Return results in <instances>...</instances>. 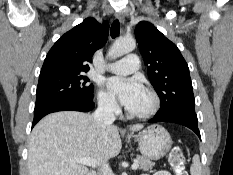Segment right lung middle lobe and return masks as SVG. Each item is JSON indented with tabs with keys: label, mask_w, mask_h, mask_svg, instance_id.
<instances>
[{
	"label": "right lung middle lobe",
	"mask_w": 233,
	"mask_h": 175,
	"mask_svg": "<svg viewBox=\"0 0 233 175\" xmlns=\"http://www.w3.org/2000/svg\"><path fill=\"white\" fill-rule=\"evenodd\" d=\"M59 100L91 101L93 100V84H89V78L84 73L40 77L35 106Z\"/></svg>",
	"instance_id": "1"
}]
</instances>
